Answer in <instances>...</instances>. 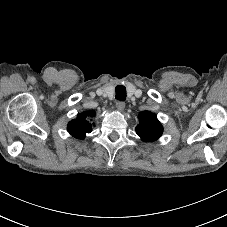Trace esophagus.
<instances>
[{
  "mask_svg": "<svg viewBox=\"0 0 227 227\" xmlns=\"http://www.w3.org/2000/svg\"><path fill=\"white\" fill-rule=\"evenodd\" d=\"M117 110L119 111H123L124 108H125V102L123 101H117L116 104H115Z\"/></svg>",
  "mask_w": 227,
  "mask_h": 227,
  "instance_id": "esophagus-1",
  "label": "esophagus"
}]
</instances>
